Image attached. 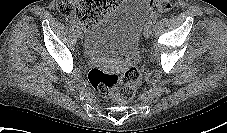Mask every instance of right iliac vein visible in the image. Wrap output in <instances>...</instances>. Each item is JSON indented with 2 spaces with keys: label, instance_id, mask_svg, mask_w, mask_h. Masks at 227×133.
<instances>
[{
  "label": "right iliac vein",
  "instance_id": "obj_1",
  "mask_svg": "<svg viewBox=\"0 0 227 133\" xmlns=\"http://www.w3.org/2000/svg\"><path fill=\"white\" fill-rule=\"evenodd\" d=\"M77 34H78L79 38L83 39L84 35H83L82 30L79 27H77Z\"/></svg>",
  "mask_w": 227,
  "mask_h": 133
}]
</instances>
